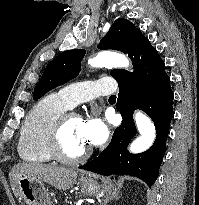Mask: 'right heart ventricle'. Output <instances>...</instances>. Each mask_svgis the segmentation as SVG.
I'll list each match as a JSON object with an SVG mask.
<instances>
[{"mask_svg": "<svg viewBox=\"0 0 199 205\" xmlns=\"http://www.w3.org/2000/svg\"><path fill=\"white\" fill-rule=\"evenodd\" d=\"M69 108L58 93L45 96L31 109L18 143V153L24 161L34 164L53 161L46 150V138L55 120Z\"/></svg>", "mask_w": 199, "mask_h": 205, "instance_id": "right-heart-ventricle-1", "label": "right heart ventricle"}]
</instances>
